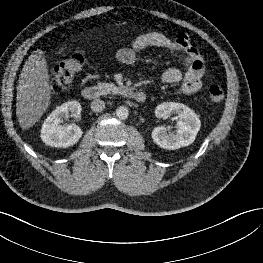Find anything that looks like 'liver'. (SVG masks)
Here are the masks:
<instances>
[{
  "mask_svg": "<svg viewBox=\"0 0 263 263\" xmlns=\"http://www.w3.org/2000/svg\"><path fill=\"white\" fill-rule=\"evenodd\" d=\"M51 100L50 75L44 52L34 51L20 73L16 114L23 130L29 129L46 112Z\"/></svg>",
  "mask_w": 263,
  "mask_h": 263,
  "instance_id": "1",
  "label": "liver"
}]
</instances>
